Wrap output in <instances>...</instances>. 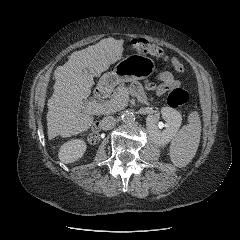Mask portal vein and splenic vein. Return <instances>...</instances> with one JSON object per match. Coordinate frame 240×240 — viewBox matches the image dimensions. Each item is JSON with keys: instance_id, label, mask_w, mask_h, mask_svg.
I'll return each instance as SVG.
<instances>
[{"instance_id": "obj_1", "label": "portal vein and splenic vein", "mask_w": 240, "mask_h": 240, "mask_svg": "<svg viewBox=\"0 0 240 240\" xmlns=\"http://www.w3.org/2000/svg\"><path fill=\"white\" fill-rule=\"evenodd\" d=\"M118 101L111 100L102 104H97L94 102H89L86 107H83V111L86 113H107L110 111H115Z\"/></svg>"}]
</instances>
